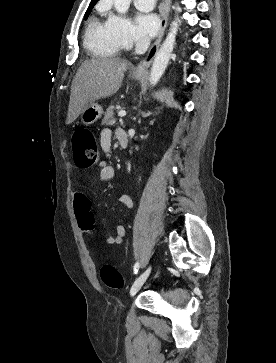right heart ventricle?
Returning a JSON list of instances; mask_svg holds the SVG:
<instances>
[{"instance_id": "obj_1", "label": "right heart ventricle", "mask_w": 276, "mask_h": 363, "mask_svg": "<svg viewBox=\"0 0 276 363\" xmlns=\"http://www.w3.org/2000/svg\"><path fill=\"white\" fill-rule=\"evenodd\" d=\"M84 45L95 57H112L122 47L108 20L102 21L96 17H92L87 25Z\"/></svg>"}]
</instances>
